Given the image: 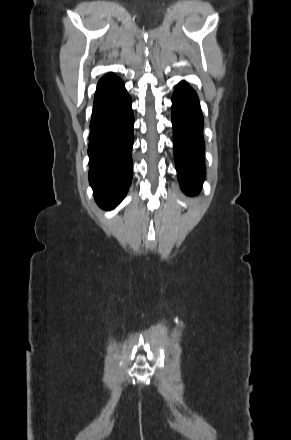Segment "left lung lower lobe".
<instances>
[{"label":"left lung lower lobe","instance_id":"1","mask_svg":"<svg viewBox=\"0 0 291 440\" xmlns=\"http://www.w3.org/2000/svg\"><path fill=\"white\" fill-rule=\"evenodd\" d=\"M172 124L178 179L186 194L195 195L205 175L203 116L196 92L184 81L173 93Z\"/></svg>","mask_w":291,"mask_h":440}]
</instances>
